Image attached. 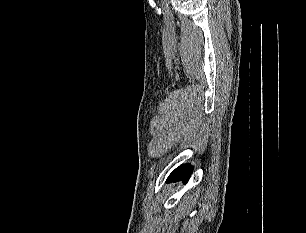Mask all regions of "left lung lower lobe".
I'll use <instances>...</instances> for the list:
<instances>
[{
    "label": "left lung lower lobe",
    "instance_id": "1",
    "mask_svg": "<svg viewBox=\"0 0 306 233\" xmlns=\"http://www.w3.org/2000/svg\"><path fill=\"white\" fill-rule=\"evenodd\" d=\"M193 171V167L189 164H183L176 168L167 178L166 182H174L178 180H183L184 183H186L191 176V173Z\"/></svg>",
    "mask_w": 306,
    "mask_h": 233
}]
</instances>
